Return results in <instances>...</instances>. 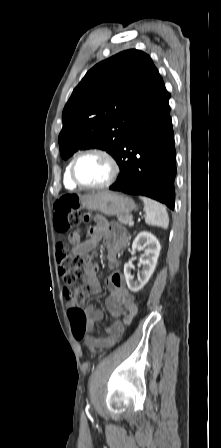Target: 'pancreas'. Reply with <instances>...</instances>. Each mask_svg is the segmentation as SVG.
Wrapping results in <instances>:
<instances>
[{"label": "pancreas", "mask_w": 221, "mask_h": 448, "mask_svg": "<svg viewBox=\"0 0 221 448\" xmlns=\"http://www.w3.org/2000/svg\"><path fill=\"white\" fill-rule=\"evenodd\" d=\"M118 220L122 224H128L132 220V217L131 215H119Z\"/></svg>", "instance_id": "pancreas-1"}]
</instances>
